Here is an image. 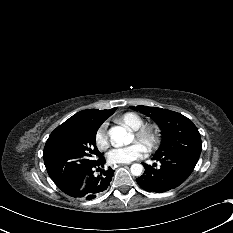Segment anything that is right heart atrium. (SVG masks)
Wrapping results in <instances>:
<instances>
[{
    "label": "right heart atrium",
    "instance_id": "obj_1",
    "mask_svg": "<svg viewBox=\"0 0 233 233\" xmlns=\"http://www.w3.org/2000/svg\"><path fill=\"white\" fill-rule=\"evenodd\" d=\"M95 144L99 150H106L109 147V138L105 125L100 126L95 132Z\"/></svg>",
    "mask_w": 233,
    "mask_h": 233
}]
</instances>
